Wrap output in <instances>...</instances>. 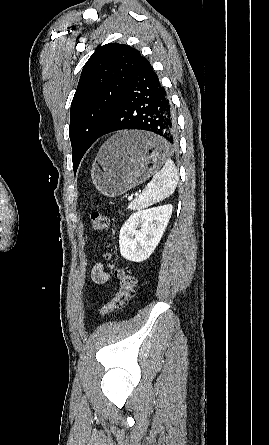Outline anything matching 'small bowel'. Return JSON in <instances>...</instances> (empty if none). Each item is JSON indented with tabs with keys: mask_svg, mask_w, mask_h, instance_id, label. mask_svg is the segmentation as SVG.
Wrapping results in <instances>:
<instances>
[{
	"mask_svg": "<svg viewBox=\"0 0 269 445\" xmlns=\"http://www.w3.org/2000/svg\"><path fill=\"white\" fill-rule=\"evenodd\" d=\"M109 273L101 262H96L91 270V279L96 284H104L109 280Z\"/></svg>",
	"mask_w": 269,
	"mask_h": 445,
	"instance_id": "c3829d8e",
	"label": "small bowel"
}]
</instances>
